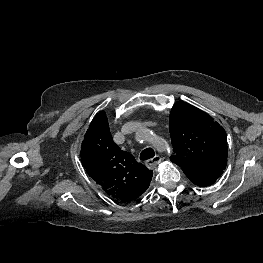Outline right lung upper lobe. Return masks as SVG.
I'll use <instances>...</instances> for the list:
<instances>
[{
	"label": "right lung upper lobe",
	"mask_w": 263,
	"mask_h": 263,
	"mask_svg": "<svg viewBox=\"0 0 263 263\" xmlns=\"http://www.w3.org/2000/svg\"><path fill=\"white\" fill-rule=\"evenodd\" d=\"M80 154L89 176L114 199L131 202L150 185L152 170L114 143L104 111L90 123Z\"/></svg>",
	"instance_id": "obj_1"
}]
</instances>
